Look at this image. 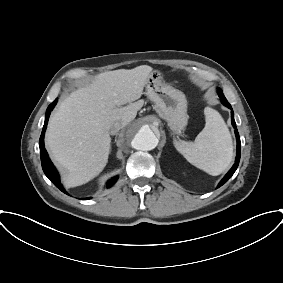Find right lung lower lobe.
Segmentation results:
<instances>
[{"label":"right lung lower lobe","mask_w":283,"mask_h":283,"mask_svg":"<svg viewBox=\"0 0 283 283\" xmlns=\"http://www.w3.org/2000/svg\"><path fill=\"white\" fill-rule=\"evenodd\" d=\"M56 103H57V99H55V101L52 102L46 110V117H45L43 130H42V133H41V136H40V140H39V147H40V155H41V164H42V168H43L45 175L51 180V182L57 188H59L62 192L66 193L63 186L60 183L58 172L55 169L52 162L50 161L48 154L46 152V149L44 147V133H45V130H46V127H47V123H48L50 113H51L52 109L54 108V106L56 105ZM116 179H117V177L111 179L108 182L107 186L110 187L113 183H115Z\"/></svg>","instance_id":"obj_1"}]
</instances>
